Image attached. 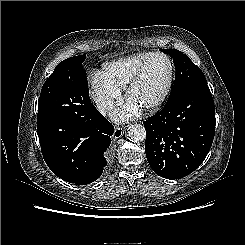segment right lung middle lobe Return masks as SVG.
I'll list each match as a JSON object with an SVG mask.
<instances>
[{
    "mask_svg": "<svg viewBox=\"0 0 245 245\" xmlns=\"http://www.w3.org/2000/svg\"><path fill=\"white\" fill-rule=\"evenodd\" d=\"M86 55L60 62L44 83L37 118L57 117L84 122L94 108L82 63Z\"/></svg>",
    "mask_w": 245,
    "mask_h": 245,
    "instance_id": "obj_1",
    "label": "right lung middle lobe"
}]
</instances>
